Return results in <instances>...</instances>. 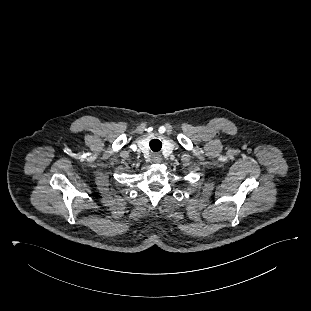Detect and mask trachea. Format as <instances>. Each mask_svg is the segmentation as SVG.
I'll use <instances>...</instances> for the list:
<instances>
[{
	"label": "trachea",
	"mask_w": 311,
	"mask_h": 311,
	"mask_svg": "<svg viewBox=\"0 0 311 311\" xmlns=\"http://www.w3.org/2000/svg\"><path fill=\"white\" fill-rule=\"evenodd\" d=\"M149 145L154 152H158L162 148V143L158 139L151 140Z\"/></svg>",
	"instance_id": "3493384b"
}]
</instances>
